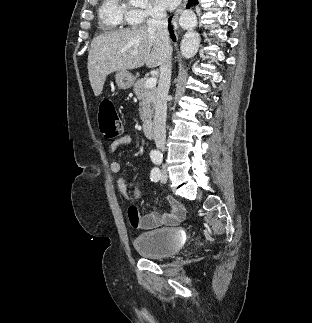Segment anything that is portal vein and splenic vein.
<instances>
[{"label":"portal vein and splenic vein","mask_w":312,"mask_h":323,"mask_svg":"<svg viewBox=\"0 0 312 323\" xmlns=\"http://www.w3.org/2000/svg\"><path fill=\"white\" fill-rule=\"evenodd\" d=\"M156 86V78H149L145 84V88H155Z\"/></svg>","instance_id":"portal-vein-and-splenic-vein-1"}]
</instances>
